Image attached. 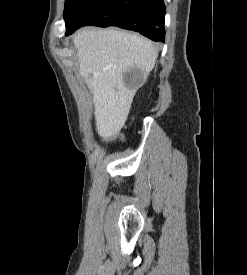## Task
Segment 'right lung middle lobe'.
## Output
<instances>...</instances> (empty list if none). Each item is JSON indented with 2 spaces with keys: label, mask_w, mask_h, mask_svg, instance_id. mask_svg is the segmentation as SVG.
Returning <instances> with one entry per match:
<instances>
[{
  "label": "right lung middle lobe",
  "mask_w": 247,
  "mask_h": 275,
  "mask_svg": "<svg viewBox=\"0 0 247 275\" xmlns=\"http://www.w3.org/2000/svg\"><path fill=\"white\" fill-rule=\"evenodd\" d=\"M101 1L102 0H66L64 10L66 30L71 28L75 24L77 18L82 13Z\"/></svg>",
  "instance_id": "dd1d6c3e"
}]
</instances>
